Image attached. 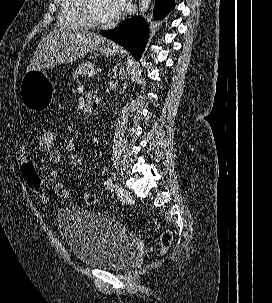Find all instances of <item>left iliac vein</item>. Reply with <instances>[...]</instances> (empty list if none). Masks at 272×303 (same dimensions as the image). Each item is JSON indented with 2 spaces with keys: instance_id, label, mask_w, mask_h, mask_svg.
Here are the masks:
<instances>
[{
  "instance_id": "obj_1",
  "label": "left iliac vein",
  "mask_w": 272,
  "mask_h": 303,
  "mask_svg": "<svg viewBox=\"0 0 272 303\" xmlns=\"http://www.w3.org/2000/svg\"><path fill=\"white\" fill-rule=\"evenodd\" d=\"M115 193L121 200L127 201L130 198L129 191L119 184L115 185Z\"/></svg>"
}]
</instances>
